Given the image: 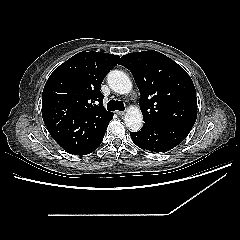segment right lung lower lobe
<instances>
[{"label":"right lung lower lobe","mask_w":240,"mask_h":240,"mask_svg":"<svg viewBox=\"0 0 240 240\" xmlns=\"http://www.w3.org/2000/svg\"><path fill=\"white\" fill-rule=\"evenodd\" d=\"M104 134H105V131L104 133L101 135V137L97 140V142L92 145L91 147H89L88 149L78 153V154H75V155H87L91 152H93L95 149H97L99 147V145L101 144L102 140H103V137H104Z\"/></svg>","instance_id":"98d812e1"}]
</instances>
